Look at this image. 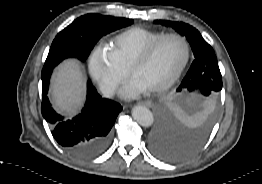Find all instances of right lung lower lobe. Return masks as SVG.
Here are the masks:
<instances>
[{
	"instance_id": "98d812e1",
	"label": "right lung lower lobe",
	"mask_w": 262,
	"mask_h": 184,
	"mask_svg": "<svg viewBox=\"0 0 262 184\" xmlns=\"http://www.w3.org/2000/svg\"><path fill=\"white\" fill-rule=\"evenodd\" d=\"M52 70L44 71L42 79V115L52 129L55 140L68 152L80 158H92L106 150L111 140V128L122 107L102 98L88 81L87 100L81 113L65 119L56 113L47 97Z\"/></svg>"
}]
</instances>
